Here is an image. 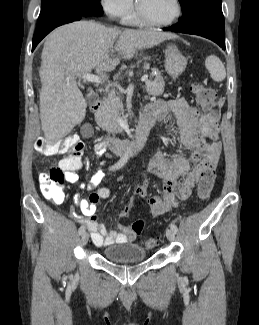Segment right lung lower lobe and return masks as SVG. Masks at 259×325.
Instances as JSON below:
<instances>
[{"label":"right lung lower lobe","instance_id":"1","mask_svg":"<svg viewBox=\"0 0 259 325\" xmlns=\"http://www.w3.org/2000/svg\"><path fill=\"white\" fill-rule=\"evenodd\" d=\"M92 16H86L75 10H64L51 14L41 23L37 24L36 31L33 36L32 51L38 43L54 28L73 21H78Z\"/></svg>","mask_w":259,"mask_h":325}]
</instances>
